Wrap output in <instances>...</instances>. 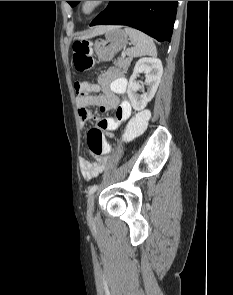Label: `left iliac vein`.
Instances as JSON below:
<instances>
[{"label": "left iliac vein", "mask_w": 233, "mask_h": 295, "mask_svg": "<svg viewBox=\"0 0 233 295\" xmlns=\"http://www.w3.org/2000/svg\"><path fill=\"white\" fill-rule=\"evenodd\" d=\"M93 209H94V195L91 194L88 197V200H87V214H88V217L92 216Z\"/></svg>", "instance_id": "1"}]
</instances>
